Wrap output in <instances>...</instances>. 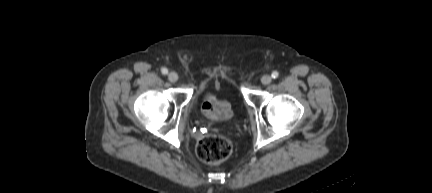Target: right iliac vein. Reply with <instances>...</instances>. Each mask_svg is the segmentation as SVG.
<instances>
[{
    "label": "right iliac vein",
    "instance_id": "1",
    "mask_svg": "<svg viewBox=\"0 0 432 193\" xmlns=\"http://www.w3.org/2000/svg\"><path fill=\"white\" fill-rule=\"evenodd\" d=\"M168 80L172 83H175L178 80V75L175 72H170L168 74Z\"/></svg>",
    "mask_w": 432,
    "mask_h": 193
}]
</instances>
